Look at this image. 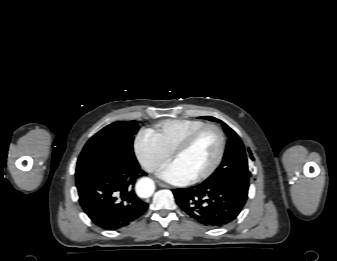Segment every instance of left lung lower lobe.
I'll use <instances>...</instances> for the list:
<instances>
[{
    "instance_id": "0a47b994",
    "label": "left lung lower lobe",
    "mask_w": 337,
    "mask_h": 261,
    "mask_svg": "<svg viewBox=\"0 0 337 261\" xmlns=\"http://www.w3.org/2000/svg\"><path fill=\"white\" fill-rule=\"evenodd\" d=\"M179 207L192 219L208 227H222L241 212L246 198L221 184H199L172 190Z\"/></svg>"
}]
</instances>
